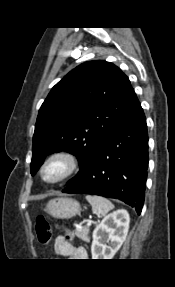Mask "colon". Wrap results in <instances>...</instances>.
<instances>
[{
	"mask_svg": "<svg viewBox=\"0 0 175 287\" xmlns=\"http://www.w3.org/2000/svg\"><path fill=\"white\" fill-rule=\"evenodd\" d=\"M35 232L38 241L43 245H48L52 239V228L51 224L45 214H40L36 220ZM66 241L72 239V234L70 231L66 230L65 235Z\"/></svg>",
	"mask_w": 175,
	"mask_h": 287,
	"instance_id": "1",
	"label": "colon"
}]
</instances>
